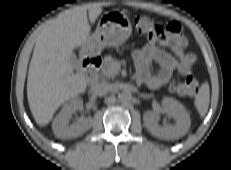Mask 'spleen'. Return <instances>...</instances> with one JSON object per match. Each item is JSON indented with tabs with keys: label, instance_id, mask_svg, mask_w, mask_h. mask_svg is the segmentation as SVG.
I'll return each mask as SVG.
<instances>
[{
	"label": "spleen",
	"instance_id": "spleen-1",
	"mask_svg": "<svg viewBox=\"0 0 231 170\" xmlns=\"http://www.w3.org/2000/svg\"><path fill=\"white\" fill-rule=\"evenodd\" d=\"M210 101V90L207 82L203 83L195 96L194 106L197 109L199 115L204 117L207 113Z\"/></svg>",
	"mask_w": 231,
	"mask_h": 170
}]
</instances>
